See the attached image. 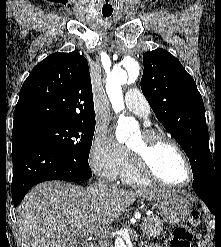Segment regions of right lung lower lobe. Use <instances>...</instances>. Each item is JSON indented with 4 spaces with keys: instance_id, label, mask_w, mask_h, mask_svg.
<instances>
[{
    "instance_id": "1",
    "label": "right lung lower lobe",
    "mask_w": 221,
    "mask_h": 247,
    "mask_svg": "<svg viewBox=\"0 0 221 247\" xmlns=\"http://www.w3.org/2000/svg\"><path fill=\"white\" fill-rule=\"evenodd\" d=\"M12 154L14 206H18L28 190L38 183L49 180L79 183L92 176L89 166L71 160L52 146L30 137L12 136Z\"/></svg>"
}]
</instances>
